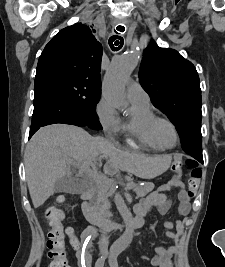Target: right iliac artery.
<instances>
[{
    "label": "right iliac artery",
    "instance_id": "obj_1",
    "mask_svg": "<svg viewBox=\"0 0 225 267\" xmlns=\"http://www.w3.org/2000/svg\"><path fill=\"white\" fill-rule=\"evenodd\" d=\"M105 262V256H101L95 263V267H103ZM82 267H85V263L82 262Z\"/></svg>",
    "mask_w": 225,
    "mask_h": 267
}]
</instances>
